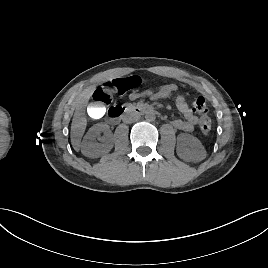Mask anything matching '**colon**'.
Instances as JSON below:
<instances>
[{
  "label": "colon",
  "instance_id": "obj_1",
  "mask_svg": "<svg viewBox=\"0 0 268 268\" xmlns=\"http://www.w3.org/2000/svg\"><path fill=\"white\" fill-rule=\"evenodd\" d=\"M141 84L138 76L114 79L100 86L93 94V100L108 105L111 103L114 94L123 95L126 92L137 88ZM192 109L200 116L199 127L204 135H208L212 129V120L204 97L199 96L192 102Z\"/></svg>",
  "mask_w": 268,
  "mask_h": 268
}]
</instances>
